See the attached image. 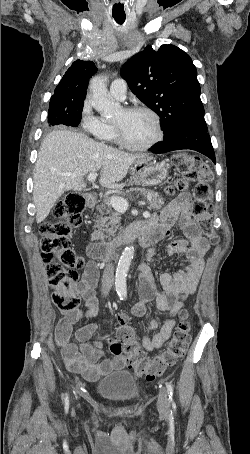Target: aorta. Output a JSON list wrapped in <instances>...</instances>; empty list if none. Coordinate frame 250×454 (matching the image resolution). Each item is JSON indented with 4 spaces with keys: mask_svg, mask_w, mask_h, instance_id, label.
Masks as SVG:
<instances>
[{
    "mask_svg": "<svg viewBox=\"0 0 250 454\" xmlns=\"http://www.w3.org/2000/svg\"><path fill=\"white\" fill-rule=\"evenodd\" d=\"M91 95L89 101L91 105L103 116H111L119 109V104L112 100L106 87V79L99 75L90 81ZM134 256V247H126L119 259L115 276V289L120 299L127 296L126 277Z\"/></svg>",
    "mask_w": 250,
    "mask_h": 454,
    "instance_id": "762f6f07",
    "label": "aorta"
}]
</instances>
